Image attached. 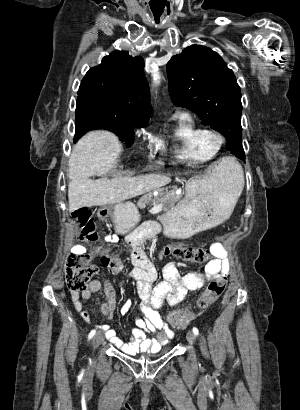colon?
Wrapping results in <instances>:
<instances>
[{
	"label": "colon",
	"mask_w": 300,
	"mask_h": 410,
	"mask_svg": "<svg viewBox=\"0 0 300 410\" xmlns=\"http://www.w3.org/2000/svg\"><path fill=\"white\" fill-rule=\"evenodd\" d=\"M73 220L80 227V238L86 242H96L98 233L92 220L91 212L87 208H80L72 215ZM165 256L189 261L197 264L206 263L211 256V250L208 248L194 247L183 244L166 245L161 250ZM103 265L113 274L121 273L124 270L122 259L113 254H107L102 257ZM96 267L90 263L85 255H72L69 257L66 267V283L71 292H81L85 289L86 284L95 275ZM226 280L216 279L208 285L197 301L200 309H205L214 303L224 292ZM193 313L190 310L174 311L169 322L171 326L181 328L186 326L192 319Z\"/></svg>",
	"instance_id": "1"
}]
</instances>
